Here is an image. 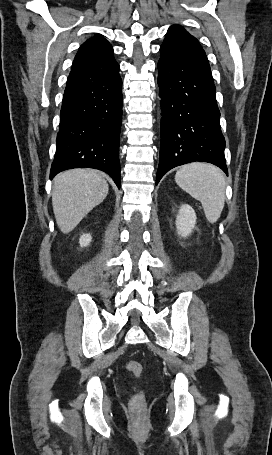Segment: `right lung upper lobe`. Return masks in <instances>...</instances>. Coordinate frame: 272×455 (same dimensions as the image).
Instances as JSON below:
<instances>
[{
  "label": "right lung upper lobe",
  "instance_id": "cb5924a9",
  "mask_svg": "<svg viewBox=\"0 0 272 455\" xmlns=\"http://www.w3.org/2000/svg\"><path fill=\"white\" fill-rule=\"evenodd\" d=\"M119 71L113 48L101 35L82 44L72 64L66 88L96 80Z\"/></svg>",
  "mask_w": 272,
  "mask_h": 455
}]
</instances>
